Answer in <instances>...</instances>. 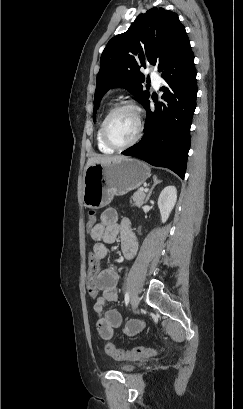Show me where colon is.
<instances>
[{"label":"colon","mask_w":243,"mask_h":409,"mask_svg":"<svg viewBox=\"0 0 243 409\" xmlns=\"http://www.w3.org/2000/svg\"><path fill=\"white\" fill-rule=\"evenodd\" d=\"M96 225H97L96 214L94 211H90L88 221L86 223L87 231L90 232ZM95 271H96V268L93 267L92 272L95 273ZM89 293L92 297L97 296V291L94 289H89ZM104 350H105V353L111 356L112 358L116 360H121V361L122 360L132 361V360L145 359L150 356H153L156 353V350L153 348L138 346L132 349L124 350V349L116 348L110 343H106L104 345Z\"/></svg>","instance_id":"colon-1"}]
</instances>
